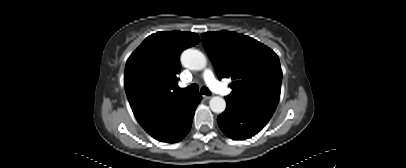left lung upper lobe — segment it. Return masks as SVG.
<instances>
[{"instance_id": "5c2ea615", "label": "left lung upper lobe", "mask_w": 406, "mask_h": 168, "mask_svg": "<svg viewBox=\"0 0 406 168\" xmlns=\"http://www.w3.org/2000/svg\"><path fill=\"white\" fill-rule=\"evenodd\" d=\"M202 38L218 78L232 79L233 91L226 98L274 113L282 80L275 52L235 32H207Z\"/></svg>"}]
</instances>
